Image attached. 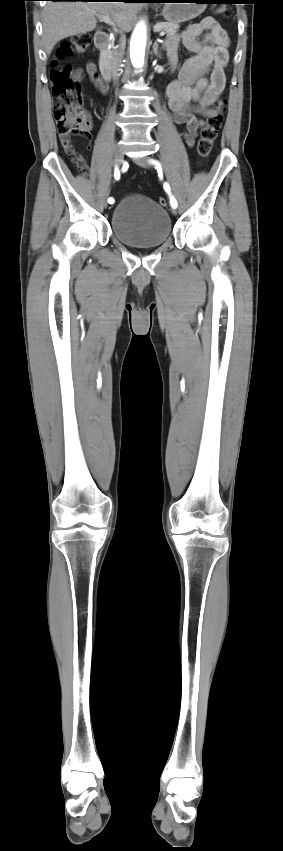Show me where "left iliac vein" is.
<instances>
[{
    "mask_svg": "<svg viewBox=\"0 0 283 851\" xmlns=\"http://www.w3.org/2000/svg\"><path fill=\"white\" fill-rule=\"evenodd\" d=\"M134 161H135V163H136L137 165H139V166H141V167H144V168H150V167L152 166V165H151V163H150V161H149V158H148V157L137 158V159H135ZM172 213H173L174 215H176V214H177V210H176L175 208H173V209H172Z\"/></svg>",
    "mask_w": 283,
    "mask_h": 851,
    "instance_id": "obj_1",
    "label": "left iliac vein"
}]
</instances>
